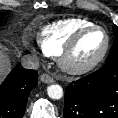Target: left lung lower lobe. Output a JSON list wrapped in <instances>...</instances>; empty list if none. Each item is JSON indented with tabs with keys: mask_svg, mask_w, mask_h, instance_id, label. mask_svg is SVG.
I'll return each instance as SVG.
<instances>
[{
	"mask_svg": "<svg viewBox=\"0 0 118 118\" xmlns=\"http://www.w3.org/2000/svg\"><path fill=\"white\" fill-rule=\"evenodd\" d=\"M63 114L64 118H118V62L67 86Z\"/></svg>",
	"mask_w": 118,
	"mask_h": 118,
	"instance_id": "obj_1",
	"label": "left lung lower lobe"
}]
</instances>
